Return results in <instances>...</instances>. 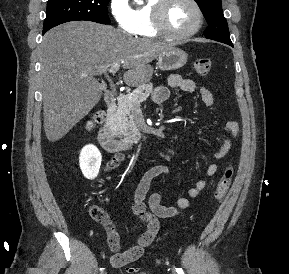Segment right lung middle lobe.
Listing matches in <instances>:
<instances>
[{"label":"right lung middle lobe","mask_w":289,"mask_h":274,"mask_svg":"<svg viewBox=\"0 0 289 274\" xmlns=\"http://www.w3.org/2000/svg\"><path fill=\"white\" fill-rule=\"evenodd\" d=\"M110 0H48L43 33L59 24L86 20L110 24L107 4Z\"/></svg>","instance_id":"right-lung-middle-lobe-1"}]
</instances>
